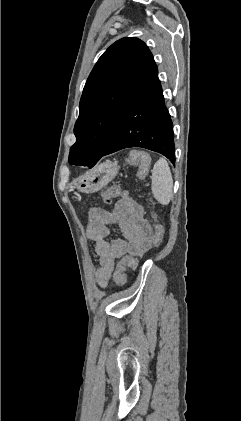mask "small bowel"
Listing matches in <instances>:
<instances>
[{"label":"small bowel","mask_w":241,"mask_h":421,"mask_svg":"<svg viewBox=\"0 0 241 421\" xmlns=\"http://www.w3.org/2000/svg\"><path fill=\"white\" fill-rule=\"evenodd\" d=\"M111 226L118 228L122 238L107 240ZM87 235L99 257L96 279L102 288L108 285L118 259L125 256L142 257L150 249L153 240L152 228L144 218L143 207L126 192L113 210L95 207L89 211Z\"/></svg>","instance_id":"c3829d8e"}]
</instances>
